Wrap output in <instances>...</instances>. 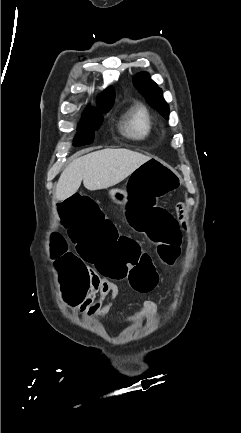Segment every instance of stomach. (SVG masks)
Returning <instances> with one entry per match:
<instances>
[{"label":"stomach","mask_w":241,"mask_h":433,"mask_svg":"<svg viewBox=\"0 0 241 433\" xmlns=\"http://www.w3.org/2000/svg\"><path fill=\"white\" fill-rule=\"evenodd\" d=\"M127 188H116V189H112L110 190L109 194H110V198L112 199V201L120 206H122V203L124 201H126L125 195L127 194L126 192Z\"/></svg>","instance_id":"stomach-1"}]
</instances>
